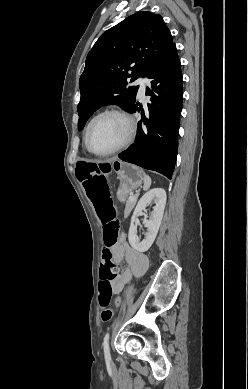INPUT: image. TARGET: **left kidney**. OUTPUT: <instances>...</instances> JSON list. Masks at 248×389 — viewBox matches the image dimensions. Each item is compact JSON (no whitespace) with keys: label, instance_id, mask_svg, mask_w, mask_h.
Listing matches in <instances>:
<instances>
[{"label":"left kidney","instance_id":"left-kidney-1","mask_svg":"<svg viewBox=\"0 0 248 389\" xmlns=\"http://www.w3.org/2000/svg\"><path fill=\"white\" fill-rule=\"evenodd\" d=\"M152 200L154 201L155 206L153 207V211L151 212L150 218H144L143 224L147 228V232L145 234V238L140 241L139 237L137 236V228L134 224L135 218L140 212L146 209L147 205ZM165 204L166 192L162 188L151 189L150 191L145 193L139 200L131 218V224L128 234L129 243L135 250L139 252H145L152 246L161 224Z\"/></svg>","mask_w":248,"mask_h":389}]
</instances>
